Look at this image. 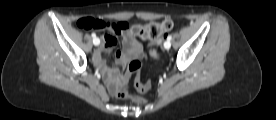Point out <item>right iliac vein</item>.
Masks as SVG:
<instances>
[{
	"instance_id": "63e3f726",
	"label": "right iliac vein",
	"mask_w": 276,
	"mask_h": 120,
	"mask_svg": "<svg viewBox=\"0 0 276 120\" xmlns=\"http://www.w3.org/2000/svg\"><path fill=\"white\" fill-rule=\"evenodd\" d=\"M98 40H99L98 38L95 39V44H94V45H96V46L99 45V44H98Z\"/></svg>"
}]
</instances>
